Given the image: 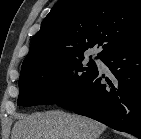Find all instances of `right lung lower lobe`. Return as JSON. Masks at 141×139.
Returning <instances> with one entry per match:
<instances>
[{
  "mask_svg": "<svg viewBox=\"0 0 141 139\" xmlns=\"http://www.w3.org/2000/svg\"><path fill=\"white\" fill-rule=\"evenodd\" d=\"M101 59L112 72L111 80L97 70L57 105L141 139V40ZM102 78L107 83H101Z\"/></svg>",
  "mask_w": 141,
  "mask_h": 139,
  "instance_id": "right-lung-lower-lobe-1",
  "label": "right lung lower lobe"
}]
</instances>
